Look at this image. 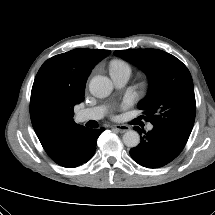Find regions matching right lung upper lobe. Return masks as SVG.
<instances>
[{
  "mask_svg": "<svg viewBox=\"0 0 215 215\" xmlns=\"http://www.w3.org/2000/svg\"><path fill=\"white\" fill-rule=\"evenodd\" d=\"M110 50L74 49L48 59L34 80L30 116L44 150L55 161L61 158L75 132L83 126L73 120V107L84 100L92 68Z\"/></svg>",
  "mask_w": 215,
  "mask_h": 215,
  "instance_id": "right-lung-upper-lobe-1",
  "label": "right lung upper lobe"
}]
</instances>
